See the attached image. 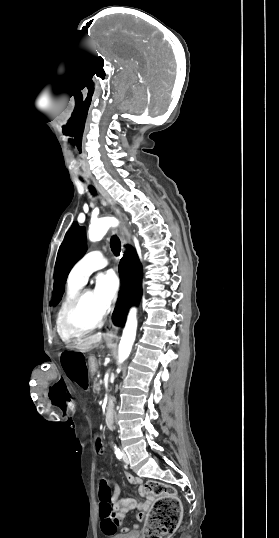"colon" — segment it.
I'll use <instances>...</instances> for the list:
<instances>
[{
	"label": "colon",
	"instance_id": "1",
	"mask_svg": "<svg viewBox=\"0 0 279 538\" xmlns=\"http://www.w3.org/2000/svg\"><path fill=\"white\" fill-rule=\"evenodd\" d=\"M96 448L103 451V444L97 440ZM145 491L156 497L150 510L149 518L144 527V538H169L179 526L182 514L180 500L176 490L160 482H148ZM98 494L100 500V515L103 518L114 516V505L111 491L104 477L99 478Z\"/></svg>",
	"mask_w": 279,
	"mask_h": 538
}]
</instances>
